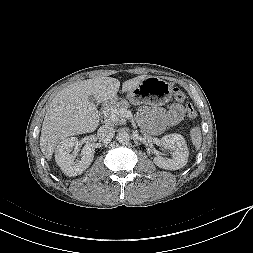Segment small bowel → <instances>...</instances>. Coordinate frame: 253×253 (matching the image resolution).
<instances>
[{
	"mask_svg": "<svg viewBox=\"0 0 253 253\" xmlns=\"http://www.w3.org/2000/svg\"><path fill=\"white\" fill-rule=\"evenodd\" d=\"M139 116L149 122L152 133L159 134L166 127L176 125L184 116V107L180 104H172L168 110L158 107H143Z\"/></svg>",
	"mask_w": 253,
	"mask_h": 253,
	"instance_id": "obj_1",
	"label": "small bowel"
}]
</instances>
